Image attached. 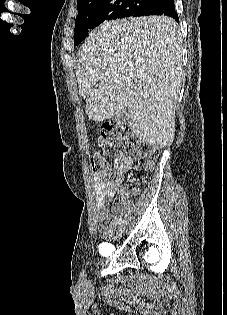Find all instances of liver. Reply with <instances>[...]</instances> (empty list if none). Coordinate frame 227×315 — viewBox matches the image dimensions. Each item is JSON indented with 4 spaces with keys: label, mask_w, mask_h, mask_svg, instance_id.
<instances>
[{
    "label": "liver",
    "mask_w": 227,
    "mask_h": 315,
    "mask_svg": "<svg viewBox=\"0 0 227 315\" xmlns=\"http://www.w3.org/2000/svg\"><path fill=\"white\" fill-rule=\"evenodd\" d=\"M182 36L166 16L104 23L79 51L76 77L89 119L125 112L143 142L163 148L175 134V108L183 81Z\"/></svg>",
    "instance_id": "1"
}]
</instances>
